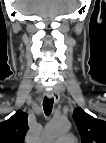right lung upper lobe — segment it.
I'll return each instance as SVG.
<instances>
[{
  "instance_id": "obj_1",
  "label": "right lung upper lobe",
  "mask_w": 106,
  "mask_h": 143,
  "mask_svg": "<svg viewBox=\"0 0 106 143\" xmlns=\"http://www.w3.org/2000/svg\"><path fill=\"white\" fill-rule=\"evenodd\" d=\"M27 114L18 110L8 120L0 123V143H24L28 127Z\"/></svg>"
}]
</instances>
